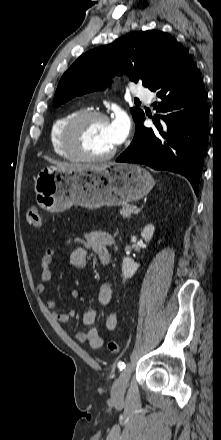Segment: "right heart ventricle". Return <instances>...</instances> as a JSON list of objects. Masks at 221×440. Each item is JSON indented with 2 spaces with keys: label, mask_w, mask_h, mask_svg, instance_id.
<instances>
[{
  "label": "right heart ventricle",
  "mask_w": 221,
  "mask_h": 440,
  "mask_svg": "<svg viewBox=\"0 0 221 440\" xmlns=\"http://www.w3.org/2000/svg\"><path fill=\"white\" fill-rule=\"evenodd\" d=\"M81 111V109L68 111L58 116L51 125L49 133L50 145L53 152L62 158L73 159L63 146L62 134L67 122Z\"/></svg>",
  "instance_id": "obj_1"
}]
</instances>
